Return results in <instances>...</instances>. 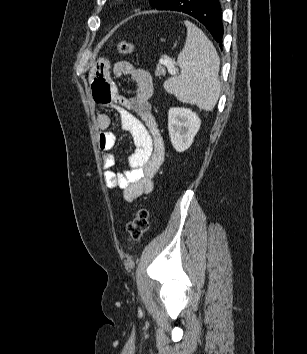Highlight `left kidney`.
<instances>
[{
	"instance_id": "obj_1",
	"label": "left kidney",
	"mask_w": 307,
	"mask_h": 354,
	"mask_svg": "<svg viewBox=\"0 0 307 354\" xmlns=\"http://www.w3.org/2000/svg\"><path fill=\"white\" fill-rule=\"evenodd\" d=\"M200 125V118L191 109L184 107L169 109L168 130L171 143L177 152H183L192 145Z\"/></svg>"
}]
</instances>
